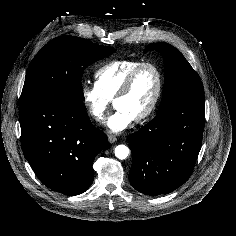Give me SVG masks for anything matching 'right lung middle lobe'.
Segmentation results:
<instances>
[{
    "label": "right lung middle lobe",
    "mask_w": 236,
    "mask_h": 236,
    "mask_svg": "<svg viewBox=\"0 0 236 236\" xmlns=\"http://www.w3.org/2000/svg\"><path fill=\"white\" fill-rule=\"evenodd\" d=\"M114 52L111 47L74 36L52 39L31 61L20 103L36 97H51L82 105L81 79L85 68Z\"/></svg>",
    "instance_id": "1"
}]
</instances>
